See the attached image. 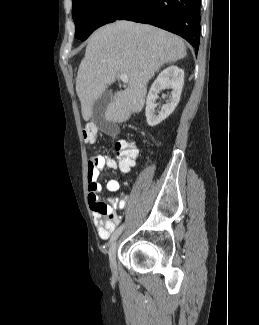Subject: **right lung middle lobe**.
I'll return each mask as SVG.
<instances>
[{
	"label": "right lung middle lobe",
	"mask_w": 259,
	"mask_h": 325,
	"mask_svg": "<svg viewBox=\"0 0 259 325\" xmlns=\"http://www.w3.org/2000/svg\"><path fill=\"white\" fill-rule=\"evenodd\" d=\"M75 37L86 40L102 25L115 21L126 0H72Z\"/></svg>",
	"instance_id": "right-lung-middle-lobe-1"
}]
</instances>
